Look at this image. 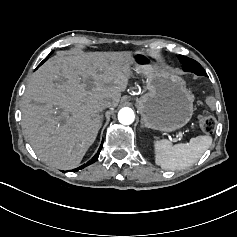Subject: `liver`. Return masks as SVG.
Segmentation results:
<instances>
[{"instance_id": "liver-1", "label": "liver", "mask_w": 237, "mask_h": 237, "mask_svg": "<svg viewBox=\"0 0 237 237\" xmlns=\"http://www.w3.org/2000/svg\"><path fill=\"white\" fill-rule=\"evenodd\" d=\"M134 63L132 53L79 52L54 56L22 97V128L38 158L60 169L77 167L99 130L100 102L119 104Z\"/></svg>"}]
</instances>
